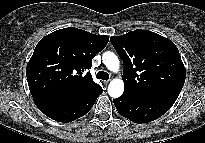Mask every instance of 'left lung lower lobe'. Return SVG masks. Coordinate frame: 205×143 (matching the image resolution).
Wrapping results in <instances>:
<instances>
[{"instance_id":"0a47b994","label":"left lung lower lobe","mask_w":205,"mask_h":143,"mask_svg":"<svg viewBox=\"0 0 205 143\" xmlns=\"http://www.w3.org/2000/svg\"><path fill=\"white\" fill-rule=\"evenodd\" d=\"M179 92L168 91L143 97L123 94L113 103L123 117L135 123H147L165 114L175 103Z\"/></svg>"}]
</instances>
